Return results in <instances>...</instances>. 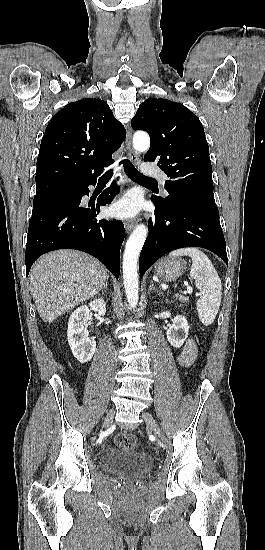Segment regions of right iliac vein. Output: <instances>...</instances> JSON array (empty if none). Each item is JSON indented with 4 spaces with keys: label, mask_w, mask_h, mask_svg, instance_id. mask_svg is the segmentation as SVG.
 <instances>
[{
    "label": "right iliac vein",
    "mask_w": 265,
    "mask_h": 550,
    "mask_svg": "<svg viewBox=\"0 0 265 550\" xmlns=\"http://www.w3.org/2000/svg\"><path fill=\"white\" fill-rule=\"evenodd\" d=\"M114 410L110 411L107 416L105 417L104 419V422H103V428H106V427H109L113 421V418H114Z\"/></svg>",
    "instance_id": "1"
}]
</instances>
